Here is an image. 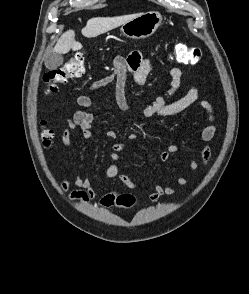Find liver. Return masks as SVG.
I'll return each instance as SVG.
<instances>
[{
  "instance_id": "liver-1",
  "label": "liver",
  "mask_w": 249,
  "mask_h": 294,
  "mask_svg": "<svg viewBox=\"0 0 249 294\" xmlns=\"http://www.w3.org/2000/svg\"><path fill=\"white\" fill-rule=\"evenodd\" d=\"M142 13L124 15L119 17H96L89 19L82 29V35L88 38L97 37L114 28H117L130 20L138 17ZM82 49V44L75 40V32L68 30L61 35L53 51L59 54L68 53L70 50L78 51Z\"/></svg>"
}]
</instances>
